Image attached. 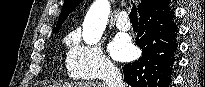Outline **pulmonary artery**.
Segmentation results:
<instances>
[{"instance_id": "1", "label": "pulmonary artery", "mask_w": 205, "mask_h": 87, "mask_svg": "<svg viewBox=\"0 0 205 87\" xmlns=\"http://www.w3.org/2000/svg\"><path fill=\"white\" fill-rule=\"evenodd\" d=\"M115 24L116 27L122 31H128L131 28V24L128 21V15L125 11L118 14Z\"/></svg>"}]
</instances>
